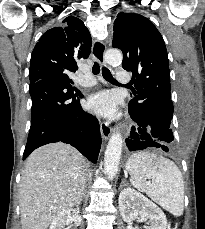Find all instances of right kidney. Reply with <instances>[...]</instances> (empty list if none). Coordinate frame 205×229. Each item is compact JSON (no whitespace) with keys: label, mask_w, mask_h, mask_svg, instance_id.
Masks as SVG:
<instances>
[{"label":"right kidney","mask_w":205,"mask_h":229,"mask_svg":"<svg viewBox=\"0 0 205 229\" xmlns=\"http://www.w3.org/2000/svg\"><path fill=\"white\" fill-rule=\"evenodd\" d=\"M79 212L80 210L78 207L73 210V213L75 214ZM72 220L73 215L71 210H64L53 219L49 229H65V226L69 225Z\"/></svg>","instance_id":"1"}]
</instances>
